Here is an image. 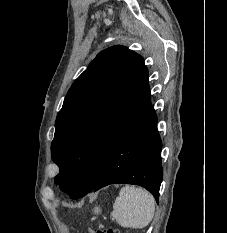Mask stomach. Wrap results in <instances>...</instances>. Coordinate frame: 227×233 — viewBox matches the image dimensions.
I'll return each instance as SVG.
<instances>
[{"instance_id":"stomach-1","label":"stomach","mask_w":227,"mask_h":233,"mask_svg":"<svg viewBox=\"0 0 227 233\" xmlns=\"http://www.w3.org/2000/svg\"><path fill=\"white\" fill-rule=\"evenodd\" d=\"M94 214L95 215H98L99 212H100V208L99 207H95L94 210H93Z\"/></svg>"}]
</instances>
